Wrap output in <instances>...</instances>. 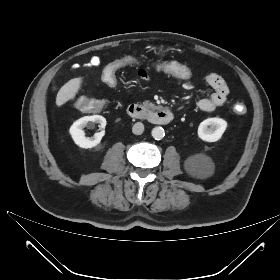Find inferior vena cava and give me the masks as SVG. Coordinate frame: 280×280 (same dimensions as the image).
<instances>
[{"label":"inferior vena cava","mask_w":280,"mask_h":280,"mask_svg":"<svg viewBox=\"0 0 280 280\" xmlns=\"http://www.w3.org/2000/svg\"><path fill=\"white\" fill-rule=\"evenodd\" d=\"M143 131H144V125L141 122L135 123L132 127V132L135 135H141L143 133Z\"/></svg>","instance_id":"602c4592"}]
</instances>
